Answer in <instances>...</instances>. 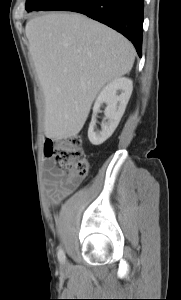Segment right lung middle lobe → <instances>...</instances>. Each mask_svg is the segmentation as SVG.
<instances>
[{"label": "right lung middle lobe", "mask_w": 181, "mask_h": 300, "mask_svg": "<svg viewBox=\"0 0 181 300\" xmlns=\"http://www.w3.org/2000/svg\"><path fill=\"white\" fill-rule=\"evenodd\" d=\"M55 0H26L25 8L30 11H41Z\"/></svg>", "instance_id": "1"}]
</instances>
